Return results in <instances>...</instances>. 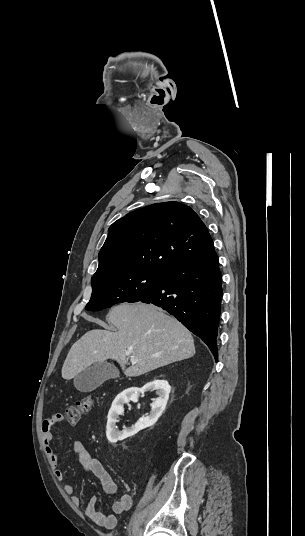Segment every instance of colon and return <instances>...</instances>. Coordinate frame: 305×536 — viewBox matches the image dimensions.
<instances>
[{"mask_svg":"<svg viewBox=\"0 0 305 536\" xmlns=\"http://www.w3.org/2000/svg\"><path fill=\"white\" fill-rule=\"evenodd\" d=\"M93 406V396L88 395L79 399L76 403L66 407V418L64 422L75 424L80 417L88 412ZM63 423V422H61Z\"/></svg>","mask_w":305,"mask_h":536,"instance_id":"5ec220e1","label":"colon"}]
</instances>
